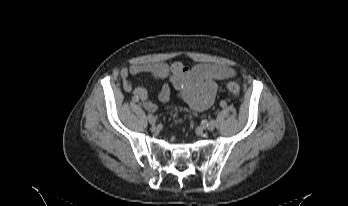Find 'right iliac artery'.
Segmentation results:
<instances>
[{
  "mask_svg": "<svg viewBox=\"0 0 348 206\" xmlns=\"http://www.w3.org/2000/svg\"><path fill=\"white\" fill-rule=\"evenodd\" d=\"M133 102H139V97L138 96H133Z\"/></svg>",
  "mask_w": 348,
  "mask_h": 206,
  "instance_id": "82829eb1",
  "label": "right iliac artery"
}]
</instances>
